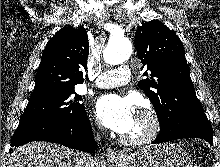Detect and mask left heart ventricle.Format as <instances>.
<instances>
[{"label":"left heart ventricle","instance_id":"1","mask_svg":"<svg viewBox=\"0 0 220 167\" xmlns=\"http://www.w3.org/2000/svg\"><path fill=\"white\" fill-rule=\"evenodd\" d=\"M147 126H148L147 119L144 116L137 113L132 127L130 128L129 131L124 133V135L128 137L140 136L145 132Z\"/></svg>","mask_w":220,"mask_h":167}]
</instances>
